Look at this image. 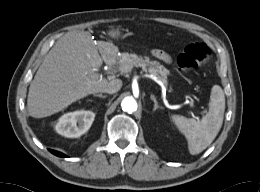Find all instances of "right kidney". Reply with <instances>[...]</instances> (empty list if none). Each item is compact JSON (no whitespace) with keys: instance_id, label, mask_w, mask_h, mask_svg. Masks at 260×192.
Returning a JSON list of instances; mask_svg holds the SVG:
<instances>
[{"instance_id":"ca27d5eb","label":"right kidney","mask_w":260,"mask_h":192,"mask_svg":"<svg viewBox=\"0 0 260 192\" xmlns=\"http://www.w3.org/2000/svg\"><path fill=\"white\" fill-rule=\"evenodd\" d=\"M95 114L91 111H75L60 117L56 131L68 138H77L88 131L94 121Z\"/></svg>"}]
</instances>
